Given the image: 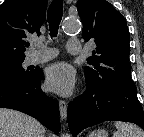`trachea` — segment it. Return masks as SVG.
<instances>
[{
    "instance_id": "trachea-1",
    "label": "trachea",
    "mask_w": 144,
    "mask_h": 137,
    "mask_svg": "<svg viewBox=\"0 0 144 137\" xmlns=\"http://www.w3.org/2000/svg\"><path fill=\"white\" fill-rule=\"evenodd\" d=\"M62 15H63V0H53L47 12V20L49 23L51 37L57 36Z\"/></svg>"
}]
</instances>
